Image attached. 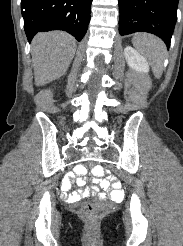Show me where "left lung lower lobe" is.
<instances>
[{
    "mask_svg": "<svg viewBox=\"0 0 183 246\" xmlns=\"http://www.w3.org/2000/svg\"><path fill=\"white\" fill-rule=\"evenodd\" d=\"M179 0H119V33L148 32L160 37L167 47L177 20Z\"/></svg>",
    "mask_w": 183,
    "mask_h": 246,
    "instance_id": "1",
    "label": "left lung lower lobe"
}]
</instances>
